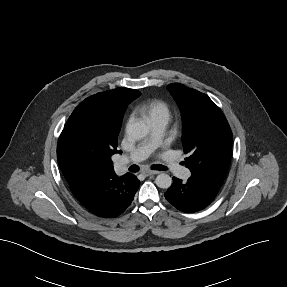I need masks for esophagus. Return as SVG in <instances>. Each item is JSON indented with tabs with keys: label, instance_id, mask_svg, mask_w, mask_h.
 <instances>
[{
	"label": "esophagus",
	"instance_id": "34e87169",
	"mask_svg": "<svg viewBox=\"0 0 287 287\" xmlns=\"http://www.w3.org/2000/svg\"><path fill=\"white\" fill-rule=\"evenodd\" d=\"M143 174L146 176L155 175V174H159V171L145 170V171H143Z\"/></svg>",
	"mask_w": 287,
	"mask_h": 287
}]
</instances>
